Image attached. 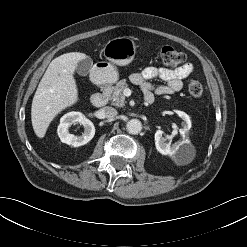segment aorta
<instances>
[{"instance_id":"762f6f07","label":"aorta","mask_w":247,"mask_h":247,"mask_svg":"<svg viewBox=\"0 0 247 247\" xmlns=\"http://www.w3.org/2000/svg\"><path fill=\"white\" fill-rule=\"evenodd\" d=\"M126 129L130 134H138L142 130V123L138 119H131L126 123Z\"/></svg>"}]
</instances>
